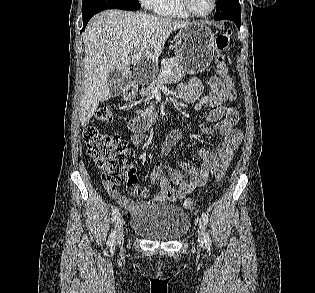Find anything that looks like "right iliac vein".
Wrapping results in <instances>:
<instances>
[{
	"instance_id": "63e3f726",
	"label": "right iliac vein",
	"mask_w": 315,
	"mask_h": 293,
	"mask_svg": "<svg viewBox=\"0 0 315 293\" xmlns=\"http://www.w3.org/2000/svg\"><path fill=\"white\" fill-rule=\"evenodd\" d=\"M124 219L122 216H119L115 221V237L118 243L123 241L124 233H123Z\"/></svg>"
}]
</instances>
